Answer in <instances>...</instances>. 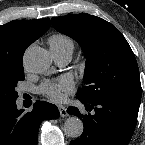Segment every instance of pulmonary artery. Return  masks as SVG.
I'll list each match as a JSON object with an SVG mask.
<instances>
[{"label": "pulmonary artery", "mask_w": 145, "mask_h": 145, "mask_svg": "<svg viewBox=\"0 0 145 145\" xmlns=\"http://www.w3.org/2000/svg\"><path fill=\"white\" fill-rule=\"evenodd\" d=\"M52 54H53L55 61L58 64L63 65V64H66L70 60L72 52L71 51H59V52H52Z\"/></svg>", "instance_id": "obj_1"}]
</instances>
